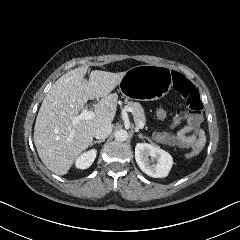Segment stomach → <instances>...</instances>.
Returning <instances> with one entry per match:
<instances>
[{
  "mask_svg": "<svg viewBox=\"0 0 240 240\" xmlns=\"http://www.w3.org/2000/svg\"><path fill=\"white\" fill-rule=\"evenodd\" d=\"M171 88L170 72L165 67L135 66L127 70L119 83L120 93L129 100L154 101Z\"/></svg>",
  "mask_w": 240,
  "mask_h": 240,
  "instance_id": "obj_1",
  "label": "stomach"
}]
</instances>
